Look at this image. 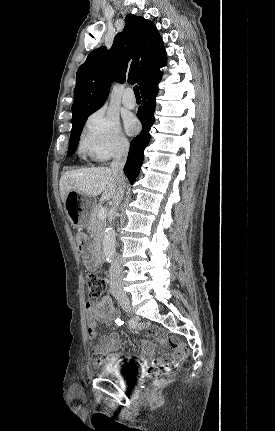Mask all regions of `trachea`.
Segmentation results:
<instances>
[{"instance_id": "trachea-1", "label": "trachea", "mask_w": 275, "mask_h": 431, "mask_svg": "<svg viewBox=\"0 0 275 431\" xmlns=\"http://www.w3.org/2000/svg\"><path fill=\"white\" fill-rule=\"evenodd\" d=\"M133 90H134L135 96H136V97H140V92H139V88H138V86H137V85H135V86L133 87Z\"/></svg>"}]
</instances>
